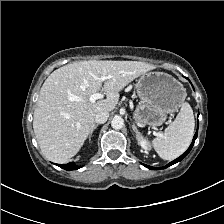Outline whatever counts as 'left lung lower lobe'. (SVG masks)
I'll list each match as a JSON object with an SVG mask.
<instances>
[{
  "mask_svg": "<svg viewBox=\"0 0 224 224\" xmlns=\"http://www.w3.org/2000/svg\"><path fill=\"white\" fill-rule=\"evenodd\" d=\"M196 138H197V132H196V134L194 135L193 141H192L190 147L188 148V150H187L183 155H181L179 158H177L176 160H174V161L170 162L169 164H167L165 167H162V168H156V167H151V166L144 165V164H143V165H144L145 167L149 168V169L158 170V169H165V168H167V167H169V166H171V165H173V164H175V163L181 161V160H182V159H183V158L190 152V150L192 149V147H193V145H194V142H195V139H196Z\"/></svg>",
  "mask_w": 224,
  "mask_h": 224,
  "instance_id": "obj_1",
  "label": "left lung lower lobe"
}]
</instances>
